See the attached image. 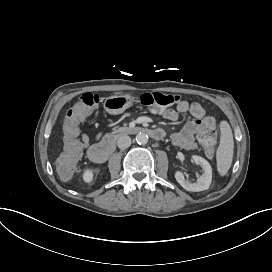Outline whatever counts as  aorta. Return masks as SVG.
<instances>
[{"instance_id": "obj_1", "label": "aorta", "mask_w": 272, "mask_h": 272, "mask_svg": "<svg viewBox=\"0 0 272 272\" xmlns=\"http://www.w3.org/2000/svg\"><path fill=\"white\" fill-rule=\"evenodd\" d=\"M135 139L138 144H146L148 142V135L145 132H138Z\"/></svg>"}]
</instances>
